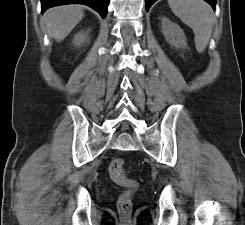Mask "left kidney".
Here are the masks:
<instances>
[{
	"label": "left kidney",
	"instance_id": "5707ae66",
	"mask_svg": "<svg viewBox=\"0 0 245 225\" xmlns=\"http://www.w3.org/2000/svg\"><path fill=\"white\" fill-rule=\"evenodd\" d=\"M162 33L166 41L175 48H187L186 37L183 30L176 23L171 22L168 18H161Z\"/></svg>",
	"mask_w": 245,
	"mask_h": 225
}]
</instances>
